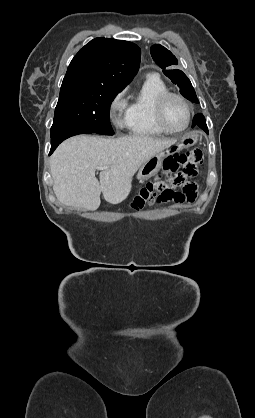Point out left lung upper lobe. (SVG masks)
I'll list each match as a JSON object with an SVG mask.
<instances>
[{"instance_id":"5c2ea615","label":"left lung upper lobe","mask_w":255,"mask_h":418,"mask_svg":"<svg viewBox=\"0 0 255 418\" xmlns=\"http://www.w3.org/2000/svg\"><path fill=\"white\" fill-rule=\"evenodd\" d=\"M151 56L156 64L163 69V73L180 88V93L188 100L199 103L195 90L188 77L178 69H168L178 64L176 57L165 47L155 44L150 48Z\"/></svg>"}]
</instances>
